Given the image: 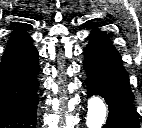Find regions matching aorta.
<instances>
[{"label":"aorta","mask_w":142,"mask_h":128,"mask_svg":"<svg viewBox=\"0 0 142 128\" xmlns=\"http://www.w3.org/2000/svg\"><path fill=\"white\" fill-rule=\"evenodd\" d=\"M88 112L86 117V125L88 128H101L106 121L107 107L104 101L93 96L87 102Z\"/></svg>","instance_id":"1"}]
</instances>
